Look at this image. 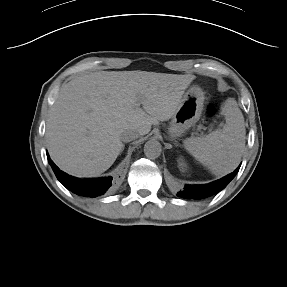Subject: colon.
<instances>
[{
    "mask_svg": "<svg viewBox=\"0 0 287 287\" xmlns=\"http://www.w3.org/2000/svg\"><path fill=\"white\" fill-rule=\"evenodd\" d=\"M215 114H216V110H215V108H214L213 106H210V107L207 108V110H206V115H207L208 117H212V116H214Z\"/></svg>",
    "mask_w": 287,
    "mask_h": 287,
    "instance_id": "1",
    "label": "colon"
}]
</instances>
